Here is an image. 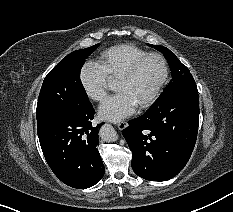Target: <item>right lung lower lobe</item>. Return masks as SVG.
<instances>
[{
	"mask_svg": "<svg viewBox=\"0 0 233 212\" xmlns=\"http://www.w3.org/2000/svg\"><path fill=\"white\" fill-rule=\"evenodd\" d=\"M92 105L64 115L38 130L42 152L53 173L66 185L88 188L103 177L105 168L97 151L98 130L92 126Z\"/></svg>",
	"mask_w": 233,
	"mask_h": 212,
	"instance_id": "right-lung-lower-lobe-1",
	"label": "right lung lower lobe"
}]
</instances>
